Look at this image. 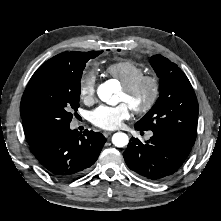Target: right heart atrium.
Listing matches in <instances>:
<instances>
[{
	"label": "right heart atrium",
	"mask_w": 221,
	"mask_h": 221,
	"mask_svg": "<svg viewBox=\"0 0 221 221\" xmlns=\"http://www.w3.org/2000/svg\"><path fill=\"white\" fill-rule=\"evenodd\" d=\"M96 86V74L94 71H86L79 80V95L83 101L94 98Z\"/></svg>",
	"instance_id": "d8ad5b80"
}]
</instances>
